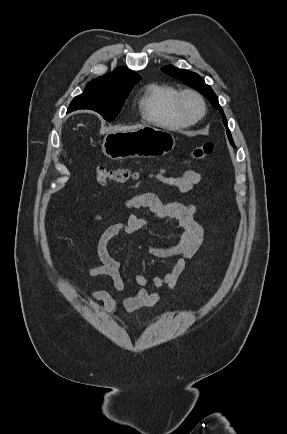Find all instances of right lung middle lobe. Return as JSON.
Returning a JSON list of instances; mask_svg holds the SVG:
<instances>
[{
	"label": "right lung middle lobe",
	"instance_id": "dd1d6c3e",
	"mask_svg": "<svg viewBox=\"0 0 287 434\" xmlns=\"http://www.w3.org/2000/svg\"><path fill=\"white\" fill-rule=\"evenodd\" d=\"M138 82L91 81L85 91L73 99L68 112L77 109H91L100 113L104 119L111 121L118 115L129 92Z\"/></svg>",
	"mask_w": 287,
	"mask_h": 434
}]
</instances>
